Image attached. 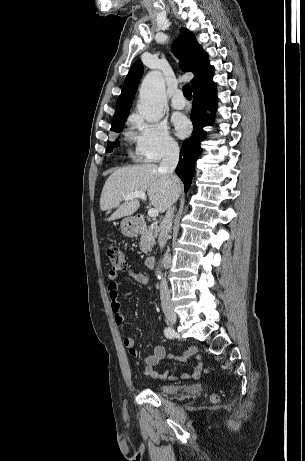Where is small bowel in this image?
Masks as SVG:
<instances>
[{
    "mask_svg": "<svg viewBox=\"0 0 305 461\" xmlns=\"http://www.w3.org/2000/svg\"><path fill=\"white\" fill-rule=\"evenodd\" d=\"M128 277L134 278L140 283L146 282V275L144 273L138 272L133 268H130L126 271ZM122 286V283L118 281L117 274L113 271L108 273V295L111 301V312L114 317V321L117 325H122L125 321V316L121 310V305L118 301V291ZM124 346L127 348L128 353L132 357H136L138 352L135 348V339L133 337H125L123 340ZM166 349L161 345H156L153 347V351L150 355L144 358V374L156 379H175L176 377L172 376L168 370H157L155 367L159 364L161 360L166 357ZM169 357L173 360L184 362L190 357H194L196 362V367L194 368L191 376L193 378H199L202 369L201 357L197 354L196 347H190L182 356H177L174 354H169ZM182 379H187L190 377L188 373H183L180 375Z\"/></svg>",
    "mask_w": 305,
    "mask_h": 461,
    "instance_id": "small-bowel-1",
    "label": "small bowel"
}]
</instances>
